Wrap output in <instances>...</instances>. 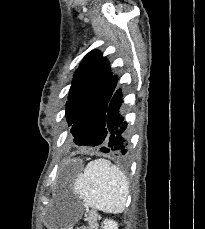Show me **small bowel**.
Listing matches in <instances>:
<instances>
[{"label":"small bowel","mask_w":205,"mask_h":229,"mask_svg":"<svg viewBox=\"0 0 205 229\" xmlns=\"http://www.w3.org/2000/svg\"><path fill=\"white\" fill-rule=\"evenodd\" d=\"M76 229H91V228L87 226H80V227H77Z\"/></svg>","instance_id":"small-bowel-1"}]
</instances>
